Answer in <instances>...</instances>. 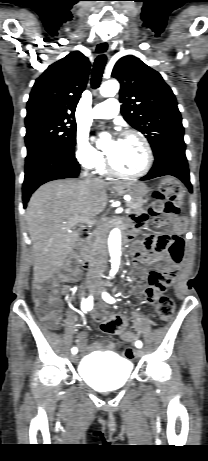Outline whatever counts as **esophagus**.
<instances>
[{
  "label": "esophagus",
  "instance_id": "obj_1",
  "mask_svg": "<svg viewBox=\"0 0 208 461\" xmlns=\"http://www.w3.org/2000/svg\"><path fill=\"white\" fill-rule=\"evenodd\" d=\"M99 50L104 51L106 54L110 51V43L108 41H102L99 44Z\"/></svg>",
  "mask_w": 208,
  "mask_h": 461
}]
</instances>
